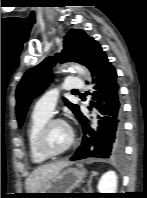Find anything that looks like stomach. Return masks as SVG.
Returning a JSON list of instances; mask_svg holds the SVG:
<instances>
[{
  "instance_id": "stomach-1",
  "label": "stomach",
  "mask_w": 147,
  "mask_h": 198,
  "mask_svg": "<svg viewBox=\"0 0 147 198\" xmlns=\"http://www.w3.org/2000/svg\"><path fill=\"white\" fill-rule=\"evenodd\" d=\"M86 176V170L83 168L68 167L60 171L56 177L49 181L41 190L34 194L33 198H55L63 197L62 194L52 193H70L75 187L80 185Z\"/></svg>"
}]
</instances>
